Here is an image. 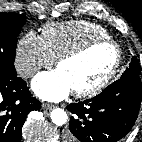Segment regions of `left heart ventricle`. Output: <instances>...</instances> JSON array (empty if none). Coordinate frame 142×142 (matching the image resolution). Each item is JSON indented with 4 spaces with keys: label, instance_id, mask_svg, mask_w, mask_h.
Returning a JSON list of instances; mask_svg holds the SVG:
<instances>
[{
    "label": "left heart ventricle",
    "instance_id": "left-heart-ventricle-1",
    "mask_svg": "<svg viewBox=\"0 0 142 142\" xmlns=\"http://www.w3.org/2000/svg\"><path fill=\"white\" fill-rule=\"evenodd\" d=\"M114 60V49L102 45L77 59L63 62L58 69L65 74L73 90L85 89L100 81L110 70Z\"/></svg>",
    "mask_w": 142,
    "mask_h": 142
}]
</instances>
